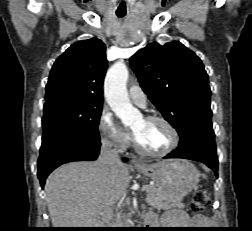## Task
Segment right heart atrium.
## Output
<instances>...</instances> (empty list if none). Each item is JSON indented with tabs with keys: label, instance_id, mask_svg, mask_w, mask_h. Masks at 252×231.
<instances>
[{
	"label": "right heart atrium",
	"instance_id": "obj_1",
	"mask_svg": "<svg viewBox=\"0 0 252 231\" xmlns=\"http://www.w3.org/2000/svg\"><path fill=\"white\" fill-rule=\"evenodd\" d=\"M98 131L106 144L119 150H124L129 145L130 134L117 123L107 109H103L100 113Z\"/></svg>",
	"mask_w": 252,
	"mask_h": 231
}]
</instances>
